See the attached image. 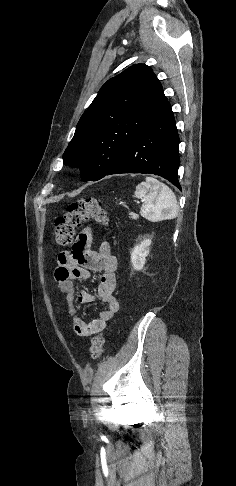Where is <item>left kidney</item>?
<instances>
[{
    "instance_id": "left-kidney-1",
    "label": "left kidney",
    "mask_w": 236,
    "mask_h": 486,
    "mask_svg": "<svg viewBox=\"0 0 236 486\" xmlns=\"http://www.w3.org/2000/svg\"><path fill=\"white\" fill-rule=\"evenodd\" d=\"M151 239H144L139 245H136L131 252V263L135 270H141L146 262V257L149 255V246Z\"/></svg>"
}]
</instances>
